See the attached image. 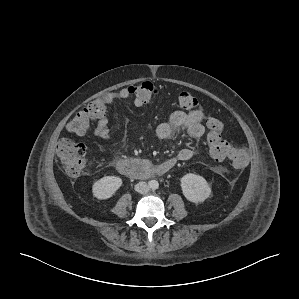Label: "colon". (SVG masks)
Returning <instances> with one entry per match:
<instances>
[{
  "label": "colon",
  "mask_w": 299,
  "mask_h": 299,
  "mask_svg": "<svg viewBox=\"0 0 299 299\" xmlns=\"http://www.w3.org/2000/svg\"><path fill=\"white\" fill-rule=\"evenodd\" d=\"M128 90L134 98L143 103L151 101L159 92L158 88L151 82L129 86ZM178 103L181 109L187 111H193L199 107L198 100L189 92L180 93ZM106 109L107 102L104 97L89 102L67 124L68 131L76 135L84 134L93 121L105 115ZM206 125L208 128L207 143L211 156L216 160L229 158L235 167L244 168L249 162V155L246 150L234 148L223 138V123L217 118H210ZM57 155L66 172L71 176L81 175L89 167L86 147L82 143L68 138L60 139L57 143Z\"/></svg>",
  "instance_id": "1"
}]
</instances>
